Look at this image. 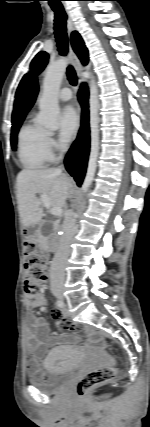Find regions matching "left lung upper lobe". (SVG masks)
Segmentation results:
<instances>
[{
	"label": "left lung upper lobe",
	"mask_w": 150,
	"mask_h": 427,
	"mask_svg": "<svg viewBox=\"0 0 150 427\" xmlns=\"http://www.w3.org/2000/svg\"><path fill=\"white\" fill-rule=\"evenodd\" d=\"M47 62H48V54L44 51H41L34 57V59L31 62L30 67L34 72L40 73L45 68ZM23 80H24V78L22 79V81L18 87L17 92L19 91L20 86L23 83Z\"/></svg>",
	"instance_id": "left-lung-upper-lobe-1"
}]
</instances>
